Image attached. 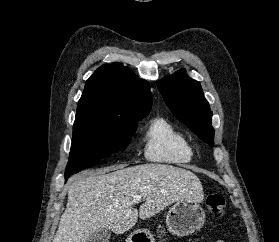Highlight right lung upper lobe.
Segmentation results:
<instances>
[{"label":"right lung upper lobe","mask_w":279,"mask_h":242,"mask_svg":"<svg viewBox=\"0 0 279 242\" xmlns=\"http://www.w3.org/2000/svg\"><path fill=\"white\" fill-rule=\"evenodd\" d=\"M151 105L147 81L122 64H105L87 80L76 117L137 122L148 115Z\"/></svg>","instance_id":"obj_1"}]
</instances>
